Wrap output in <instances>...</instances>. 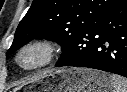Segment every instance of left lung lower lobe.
Wrapping results in <instances>:
<instances>
[{
    "label": "left lung lower lobe",
    "instance_id": "left-lung-lower-lobe-1",
    "mask_svg": "<svg viewBox=\"0 0 127 92\" xmlns=\"http://www.w3.org/2000/svg\"><path fill=\"white\" fill-rule=\"evenodd\" d=\"M56 66L87 67L127 77V0L85 29Z\"/></svg>",
    "mask_w": 127,
    "mask_h": 92
}]
</instances>
